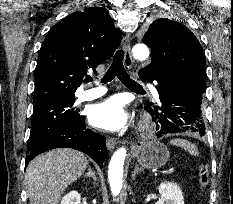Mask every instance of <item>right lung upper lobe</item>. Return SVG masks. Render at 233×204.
Instances as JSON below:
<instances>
[{"mask_svg": "<svg viewBox=\"0 0 233 204\" xmlns=\"http://www.w3.org/2000/svg\"><path fill=\"white\" fill-rule=\"evenodd\" d=\"M120 41V30L102 7L66 16L53 26L42 43L34 74V103L75 97L88 69L110 58Z\"/></svg>", "mask_w": 233, "mask_h": 204, "instance_id": "1", "label": "right lung upper lobe"}]
</instances>
